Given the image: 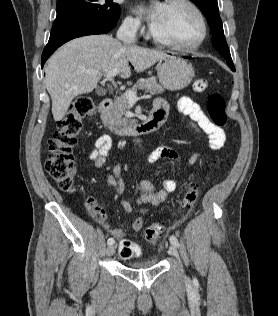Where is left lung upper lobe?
Returning a JSON list of instances; mask_svg holds the SVG:
<instances>
[{
	"instance_id": "left-lung-upper-lobe-1",
	"label": "left lung upper lobe",
	"mask_w": 278,
	"mask_h": 316,
	"mask_svg": "<svg viewBox=\"0 0 278 316\" xmlns=\"http://www.w3.org/2000/svg\"><path fill=\"white\" fill-rule=\"evenodd\" d=\"M203 12L210 25L213 34V45L227 60L231 70L235 71L230 51L224 37L223 25L219 15L217 0H191Z\"/></svg>"
}]
</instances>
